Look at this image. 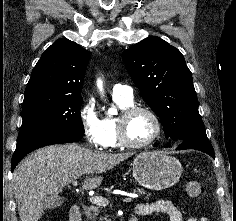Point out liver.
Masks as SVG:
<instances>
[{
	"label": "liver",
	"mask_w": 236,
	"mask_h": 221,
	"mask_svg": "<svg viewBox=\"0 0 236 221\" xmlns=\"http://www.w3.org/2000/svg\"><path fill=\"white\" fill-rule=\"evenodd\" d=\"M132 153H105L78 144L52 145L28 155L13 173L14 194L21 221H38L44 214V200L83 174H96L82 182L92 190L102 183L97 175L120 164Z\"/></svg>",
	"instance_id": "6515ba94"
}]
</instances>
